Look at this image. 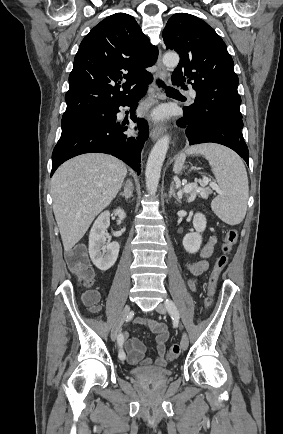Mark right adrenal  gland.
<instances>
[{
    "mask_svg": "<svg viewBox=\"0 0 283 434\" xmlns=\"http://www.w3.org/2000/svg\"><path fill=\"white\" fill-rule=\"evenodd\" d=\"M133 190H134L133 184L131 180L128 179L124 187V192L120 193L119 195L124 197L125 199H129L133 196Z\"/></svg>",
    "mask_w": 283,
    "mask_h": 434,
    "instance_id": "2a0ac1e0",
    "label": "right adrenal gland"
}]
</instances>
